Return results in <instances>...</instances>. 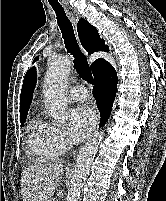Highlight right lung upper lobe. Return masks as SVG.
Returning <instances> with one entry per match:
<instances>
[{
  "instance_id": "obj_1",
  "label": "right lung upper lobe",
  "mask_w": 166,
  "mask_h": 201,
  "mask_svg": "<svg viewBox=\"0 0 166 201\" xmlns=\"http://www.w3.org/2000/svg\"><path fill=\"white\" fill-rule=\"evenodd\" d=\"M77 31L82 43V46L88 51V54H92L97 51H109V47L105 45V41L100 38L97 29L88 23L85 19H80L77 24ZM107 62L102 58H98L91 64V69L93 74L102 66L103 63ZM36 69L32 68L27 71L20 95V118L26 117L32 95L33 89L35 88L36 83Z\"/></svg>"
}]
</instances>
